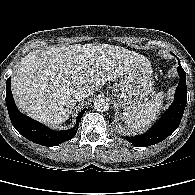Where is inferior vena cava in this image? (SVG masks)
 <instances>
[{
  "mask_svg": "<svg viewBox=\"0 0 195 195\" xmlns=\"http://www.w3.org/2000/svg\"><path fill=\"white\" fill-rule=\"evenodd\" d=\"M90 94H91L90 90H88L84 87H80V88L73 91V96L76 99V101H81V100L87 98Z\"/></svg>",
  "mask_w": 195,
  "mask_h": 195,
  "instance_id": "602c4592",
  "label": "inferior vena cava"
}]
</instances>
